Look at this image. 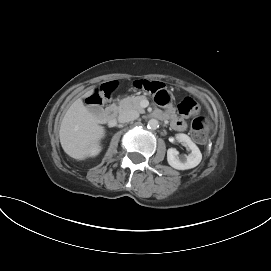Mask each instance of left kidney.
Segmentation results:
<instances>
[{"mask_svg": "<svg viewBox=\"0 0 271 271\" xmlns=\"http://www.w3.org/2000/svg\"><path fill=\"white\" fill-rule=\"evenodd\" d=\"M176 139L189 147L191 153L184 159H181L179 152L175 148L167 150V161L169 165L177 170H186L196 167L202 160V154L197 145L186 134H177Z\"/></svg>", "mask_w": 271, "mask_h": 271, "instance_id": "left-kidney-1", "label": "left kidney"}]
</instances>
